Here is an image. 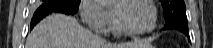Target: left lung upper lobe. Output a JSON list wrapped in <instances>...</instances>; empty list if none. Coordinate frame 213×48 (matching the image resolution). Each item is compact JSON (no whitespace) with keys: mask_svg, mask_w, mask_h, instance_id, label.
I'll return each instance as SVG.
<instances>
[{"mask_svg":"<svg viewBox=\"0 0 213 48\" xmlns=\"http://www.w3.org/2000/svg\"><path fill=\"white\" fill-rule=\"evenodd\" d=\"M164 9L166 22L187 23L185 4L183 0H160Z\"/></svg>","mask_w":213,"mask_h":48,"instance_id":"obj_1","label":"left lung upper lobe"}]
</instances>
